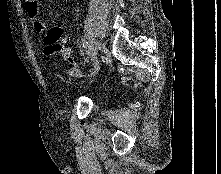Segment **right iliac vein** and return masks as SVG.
Instances as JSON below:
<instances>
[{
	"label": "right iliac vein",
	"mask_w": 221,
	"mask_h": 174,
	"mask_svg": "<svg viewBox=\"0 0 221 174\" xmlns=\"http://www.w3.org/2000/svg\"><path fill=\"white\" fill-rule=\"evenodd\" d=\"M98 49H100V44L98 42H93V45L90 48L89 53H88V58L91 61L97 60V51H98ZM85 62H88V60L85 61Z\"/></svg>",
	"instance_id": "63e3f726"
}]
</instances>
